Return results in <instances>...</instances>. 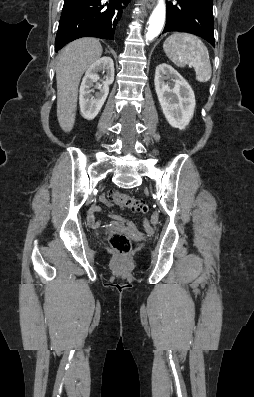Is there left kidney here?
Returning <instances> with one entry per match:
<instances>
[{"label":"left kidney","instance_id":"5707ae66","mask_svg":"<svg viewBox=\"0 0 254 397\" xmlns=\"http://www.w3.org/2000/svg\"><path fill=\"white\" fill-rule=\"evenodd\" d=\"M170 77L171 82L165 83ZM155 90L168 123L184 130L194 115L195 95L188 82L170 65L162 63L155 70Z\"/></svg>","mask_w":254,"mask_h":397}]
</instances>
